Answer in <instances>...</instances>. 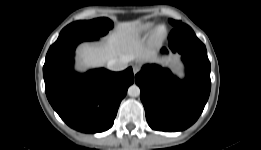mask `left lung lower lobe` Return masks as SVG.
<instances>
[{
    "label": "left lung lower lobe",
    "instance_id": "obj_1",
    "mask_svg": "<svg viewBox=\"0 0 261 150\" xmlns=\"http://www.w3.org/2000/svg\"><path fill=\"white\" fill-rule=\"evenodd\" d=\"M168 40L171 51L182 55L185 80L158 65H145L135 82L141 90L149 126L159 131H181L199 118L208 100L210 62L205 45L188 25L174 27ZM161 52L168 53L165 47Z\"/></svg>",
    "mask_w": 261,
    "mask_h": 150
}]
</instances>
